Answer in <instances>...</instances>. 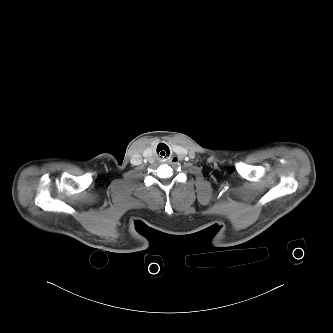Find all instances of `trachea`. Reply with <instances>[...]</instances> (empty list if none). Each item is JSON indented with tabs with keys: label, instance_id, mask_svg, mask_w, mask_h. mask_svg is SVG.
Here are the masks:
<instances>
[{
	"label": "trachea",
	"instance_id": "1",
	"mask_svg": "<svg viewBox=\"0 0 333 333\" xmlns=\"http://www.w3.org/2000/svg\"><path fill=\"white\" fill-rule=\"evenodd\" d=\"M162 146L167 147L165 144H159L157 150H158L159 148H161ZM167 149H168V147H167ZM165 151H166V150H165ZM168 151H169V150H168Z\"/></svg>",
	"mask_w": 333,
	"mask_h": 333
}]
</instances>
